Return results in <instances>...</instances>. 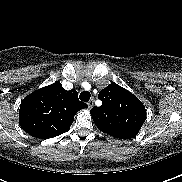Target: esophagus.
Wrapping results in <instances>:
<instances>
[{
    "label": "esophagus",
    "instance_id": "34e87169",
    "mask_svg": "<svg viewBox=\"0 0 182 182\" xmlns=\"http://www.w3.org/2000/svg\"><path fill=\"white\" fill-rule=\"evenodd\" d=\"M87 105H88V108L91 109L94 106V99H90Z\"/></svg>",
    "mask_w": 182,
    "mask_h": 182
}]
</instances>
